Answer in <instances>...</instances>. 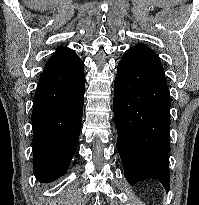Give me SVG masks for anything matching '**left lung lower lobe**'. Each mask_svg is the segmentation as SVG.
<instances>
[{
  "mask_svg": "<svg viewBox=\"0 0 199 205\" xmlns=\"http://www.w3.org/2000/svg\"><path fill=\"white\" fill-rule=\"evenodd\" d=\"M170 94L158 55L138 44L118 64L114 88L117 150L130 185L154 178L169 190Z\"/></svg>",
  "mask_w": 199,
  "mask_h": 205,
  "instance_id": "1",
  "label": "left lung lower lobe"
}]
</instances>
